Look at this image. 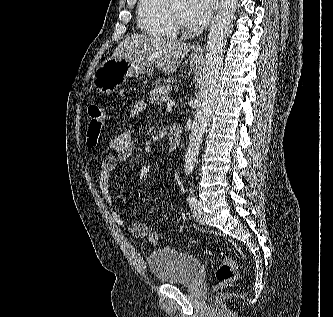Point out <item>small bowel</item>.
Instances as JSON below:
<instances>
[{"mask_svg": "<svg viewBox=\"0 0 333 317\" xmlns=\"http://www.w3.org/2000/svg\"><path fill=\"white\" fill-rule=\"evenodd\" d=\"M146 108L147 105L145 101L140 99L136 100L132 105L130 114L132 117H137L141 115ZM108 147L111 150V153L103 158L99 167V190L109 207L115 223L128 230L134 237L144 238L148 234V225L142 222H127L117 209L110 191L111 174L118 168L120 163L127 161L133 153L134 142L132 129L127 128L111 138L108 142Z\"/></svg>", "mask_w": 333, "mask_h": 317, "instance_id": "obj_1", "label": "small bowel"}]
</instances>
